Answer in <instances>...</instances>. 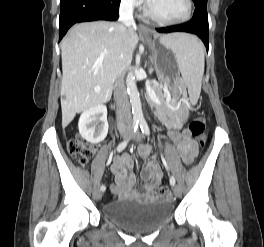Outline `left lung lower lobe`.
I'll return each mask as SVG.
<instances>
[{"instance_id": "0a47b994", "label": "left lung lower lobe", "mask_w": 264, "mask_h": 247, "mask_svg": "<svg viewBox=\"0 0 264 247\" xmlns=\"http://www.w3.org/2000/svg\"><path fill=\"white\" fill-rule=\"evenodd\" d=\"M156 30L160 33L188 32L196 34L201 38L206 46V49L208 50L209 26L207 10L195 9L192 19L186 24L170 26L166 28H157Z\"/></svg>"}]
</instances>
